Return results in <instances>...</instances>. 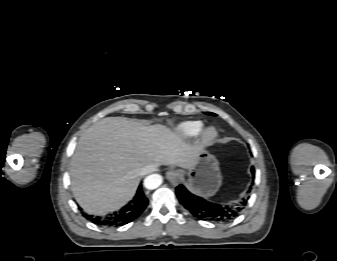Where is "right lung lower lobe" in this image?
Listing matches in <instances>:
<instances>
[{
    "mask_svg": "<svg viewBox=\"0 0 337 261\" xmlns=\"http://www.w3.org/2000/svg\"><path fill=\"white\" fill-rule=\"evenodd\" d=\"M148 199L145 197L142 186L140 185L135 197L126 206H124L119 212L111 214L109 217H93L92 215L84 214V216L95 224L117 227L125 225L134 219H136L146 208Z\"/></svg>",
    "mask_w": 337,
    "mask_h": 261,
    "instance_id": "obj_1",
    "label": "right lung lower lobe"
}]
</instances>
